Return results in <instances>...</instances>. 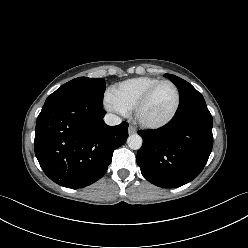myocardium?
Instances as JSON below:
<instances>
[{"label":"myocardium","instance_id":"f54148a6","mask_svg":"<svg viewBox=\"0 0 248 248\" xmlns=\"http://www.w3.org/2000/svg\"><path fill=\"white\" fill-rule=\"evenodd\" d=\"M164 84H168V85L172 86V88L174 89V92H175L174 108H173L172 112L170 113V115L160 122L146 121L142 117V111H143L144 107L146 106V104L148 103L152 94L155 92V90ZM179 107H180V92H179L178 87L170 80H160L159 82L152 85L139 99V101L137 102V104L134 108V115H135V119L138 122V124L140 126H142L143 128L149 129V130H158V129H162V128L166 127L174 120V118L176 117V115L179 111Z\"/></svg>","mask_w":248,"mask_h":248}]
</instances>
